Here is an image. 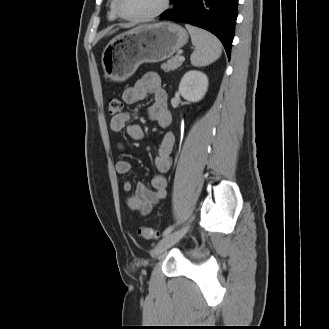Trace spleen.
Listing matches in <instances>:
<instances>
[{"instance_id":"obj_1","label":"spleen","mask_w":329,"mask_h":329,"mask_svg":"<svg viewBox=\"0 0 329 329\" xmlns=\"http://www.w3.org/2000/svg\"><path fill=\"white\" fill-rule=\"evenodd\" d=\"M191 40L195 46L190 60L196 67L207 66L216 61L222 53L220 41L208 31L186 24Z\"/></svg>"}]
</instances>
